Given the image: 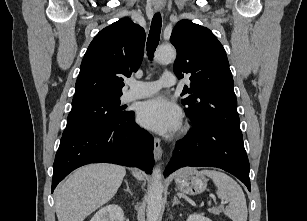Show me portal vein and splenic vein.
<instances>
[{
  "label": "portal vein and splenic vein",
  "mask_w": 307,
  "mask_h": 221,
  "mask_svg": "<svg viewBox=\"0 0 307 221\" xmlns=\"http://www.w3.org/2000/svg\"><path fill=\"white\" fill-rule=\"evenodd\" d=\"M221 204L223 205V204H225V202H221Z\"/></svg>",
  "instance_id": "1"
}]
</instances>
